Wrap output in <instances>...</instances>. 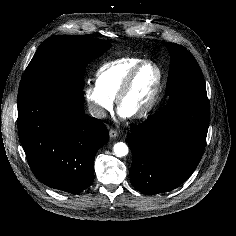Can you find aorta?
Returning a JSON list of instances; mask_svg holds the SVG:
<instances>
[{"instance_id":"1","label":"aorta","mask_w":236,"mask_h":236,"mask_svg":"<svg viewBox=\"0 0 236 236\" xmlns=\"http://www.w3.org/2000/svg\"><path fill=\"white\" fill-rule=\"evenodd\" d=\"M114 153L117 157H124L128 154V146L123 142L114 145Z\"/></svg>"}]
</instances>
